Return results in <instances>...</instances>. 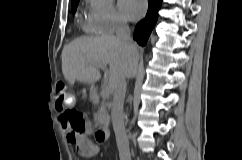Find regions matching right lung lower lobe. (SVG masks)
I'll return each mask as SVG.
<instances>
[{"instance_id":"1","label":"right lung lower lobe","mask_w":242,"mask_h":160,"mask_svg":"<svg viewBox=\"0 0 242 160\" xmlns=\"http://www.w3.org/2000/svg\"><path fill=\"white\" fill-rule=\"evenodd\" d=\"M148 12L146 17L140 21L135 28L134 39L142 46L146 45L148 37L157 21L158 11L162 0H148Z\"/></svg>"}]
</instances>
